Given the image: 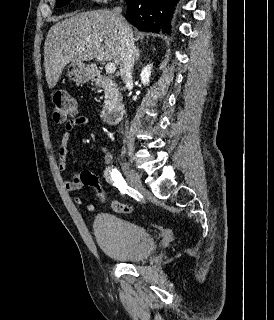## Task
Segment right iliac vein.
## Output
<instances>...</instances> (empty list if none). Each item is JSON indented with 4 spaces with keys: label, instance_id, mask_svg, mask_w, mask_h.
<instances>
[{
    "label": "right iliac vein",
    "instance_id": "1",
    "mask_svg": "<svg viewBox=\"0 0 274 320\" xmlns=\"http://www.w3.org/2000/svg\"><path fill=\"white\" fill-rule=\"evenodd\" d=\"M123 172L130 186L136 191L144 194L145 188L142 185L139 175L133 169H131L128 164L123 165Z\"/></svg>",
    "mask_w": 274,
    "mask_h": 320
}]
</instances>
